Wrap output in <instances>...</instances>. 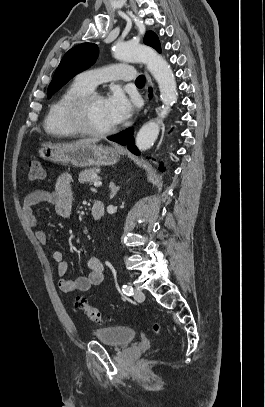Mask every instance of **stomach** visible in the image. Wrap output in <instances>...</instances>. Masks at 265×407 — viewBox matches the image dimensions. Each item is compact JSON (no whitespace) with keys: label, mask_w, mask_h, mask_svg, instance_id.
Listing matches in <instances>:
<instances>
[{"label":"stomach","mask_w":265,"mask_h":407,"mask_svg":"<svg viewBox=\"0 0 265 407\" xmlns=\"http://www.w3.org/2000/svg\"><path fill=\"white\" fill-rule=\"evenodd\" d=\"M41 158L75 167L114 165L119 154L112 147L95 143H51L44 142L38 149Z\"/></svg>","instance_id":"obj_1"}]
</instances>
